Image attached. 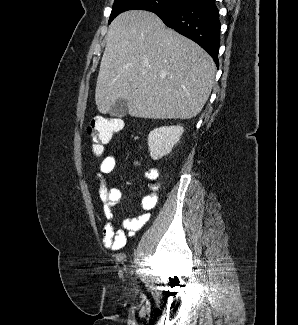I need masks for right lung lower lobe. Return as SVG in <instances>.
<instances>
[{
	"mask_svg": "<svg viewBox=\"0 0 298 325\" xmlns=\"http://www.w3.org/2000/svg\"><path fill=\"white\" fill-rule=\"evenodd\" d=\"M154 13L168 27L199 44L219 66L220 21L215 0H192L182 8Z\"/></svg>",
	"mask_w": 298,
	"mask_h": 325,
	"instance_id": "right-lung-lower-lobe-1",
	"label": "right lung lower lobe"
}]
</instances>
